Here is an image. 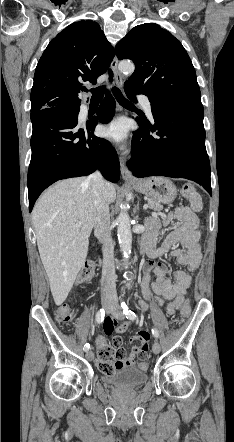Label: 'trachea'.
<instances>
[{
	"label": "trachea",
	"instance_id": "trachea-1",
	"mask_svg": "<svg viewBox=\"0 0 234 442\" xmlns=\"http://www.w3.org/2000/svg\"><path fill=\"white\" fill-rule=\"evenodd\" d=\"M113 73L111 70H109V80L112 82L113 79ZM105 87H97L94 89H91V93H92V100H101L103 98V94L105 92ZM113 94L115 96V98L117 99V101L119 102V104H121L122 106L125 107H133V104L131 102H129L121 93V91L117 88V87H113Z\"/></svg>",
	"mask_w": 234,
	"mask_h": 442
}]
</instances>
